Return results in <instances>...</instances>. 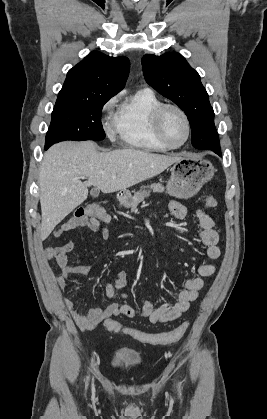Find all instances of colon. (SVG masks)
<instances>
[{"label":"colon","mask_w":267,"mask_h":419,"mask_svg":"<svg viewBox=\"0 0 267 419\" xmlns=\"http://www.w3.org/2000/svg\"><path fill=\"white\" fill-rule=\"evenodd\" d=\"M217 204L213 196H209L205 200V205L208 208L215 207ZM77 218H93L99 222H108L109 216L105 209L97 204H90L78 209L75 213ZM104 327L111 332H123L132 336L134 339L148 344H167L180 340L188 329V323L184 322L172 331L161 333H146L141 330L126 327L113 319H108L104 322Z\"/></svg>","instance_id":"1"}]
</instances>
